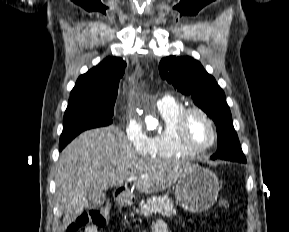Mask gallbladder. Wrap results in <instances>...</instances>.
<instances>
[{
  "label": "gallbladder",
  "instance_id": "gallbladder-1",
  "mask_svg": "<svg viewBox=\"0 0 289 232\" xmlns=\"http://www.w3.org/2000/svg\"><path fill=\"white\" fill-rule=\"evenodd\" d=\"M87 199H88V202H87L86 208L97 209L103 205L105 201V194L103 191L99 192V191L92 190L91 192L88 193Z\"/></svg>",
  "mask_w": 289,
  "mask_h": 232
}]
</instances>
